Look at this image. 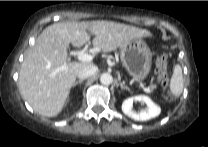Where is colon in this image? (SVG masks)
Listing matches in <instances>:
<instances>
[{"mask_svg": "<svg viewBox=\"0 0 208 147\" xmlns=\"http://www.w3.org/2000/svg\"><path fill=\"white\" fill-rule=\"evenodd\" d=\"M158 73L162 84L166 86L168 83V78H167V70H166V64L164 58H162L158 63Z\"/></svg>", "mask_w": 208, "mask_h": 147, "instance_id": "colon-1", "label": "colon"}]
</instances>
